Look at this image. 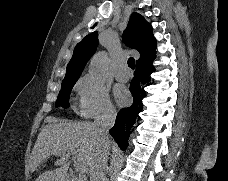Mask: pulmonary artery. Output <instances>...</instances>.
Returning a JSON list of instances; mask_svg holds the SVG:
<instances>
[{
	"mask_svg": "<svg viewBox=\"0 0 228 181\" xmlns=\"http://www.w3.org/2000/svg\"><path fill=\"white\" fill-rule=\"evenodd\" d=\"M129 74H117V79H129Z\"/></svg>",
	"mask_w": 228,
	"mask_h": 181,
	"instance_id": "pulmonary-artery-1",
	"label": "pulmonary artery"
}]
</instances>
